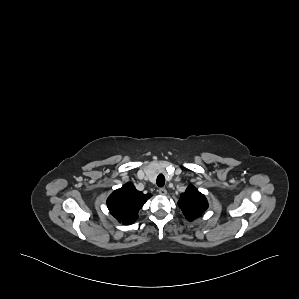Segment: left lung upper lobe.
Wrapping results in <instances>:
<instances>
[{"label":"left lung upper lobe","mask_w":299,"mask_h":299,"mask_svg":"<svg viewBox=\"0 0 299 299\" xmlns=\"http://www.w3.org/2000/svg\"><path fill=\"white\" fill-rule=\"evenodd\" d=\"M179 208L183 211L187 220L192 221L201 216L208 208V202L193 185H189L181 194L178 202Z\"/></svg>","instance_id":"5c2ea615"}]
</instances>
